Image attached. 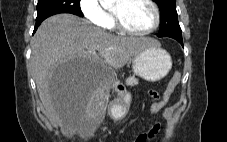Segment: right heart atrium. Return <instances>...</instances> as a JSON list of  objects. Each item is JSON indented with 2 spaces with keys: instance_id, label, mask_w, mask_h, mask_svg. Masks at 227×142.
<instances>
[{
  "instance_id": "d8ad5b80",
  "label": "right heart atrium",
  "mask_w": 227,
  "mask_h": 142,
  "mask_svg": "<svg viewBox=\"0 0 227 142\" xmlns=\"http://www.w3.org/2000/svg\"><path fill=\"white\" fill-rule=\"evenodd\" d=\"M79 6L83 16L92 24L99 27L107 25L110 15L98 0H80Z\"/></svg>"
}]
</instances>
